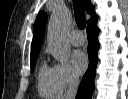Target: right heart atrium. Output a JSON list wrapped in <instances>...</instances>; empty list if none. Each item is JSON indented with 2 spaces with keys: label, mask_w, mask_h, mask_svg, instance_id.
Returning a JSON list of instances; mask_svg holds the SVG:
<instances>
[{
  "label": "right heart atrium",
  "mask_w": 128,
  "mask_h": 99,
  "mask_svg": "<svg viewBox=\"0 0 128 99\" xmlns=\"http://www.w3.org/2000/svg\"><path fill=\"white\" fill-rule=\"evenodd\" d=\"M55 82L61 92L78 85L79 78L71 65L67 62L56 63L52 67Z\"/></svg>",
  "instance_id": "1"
}]
</instances>
